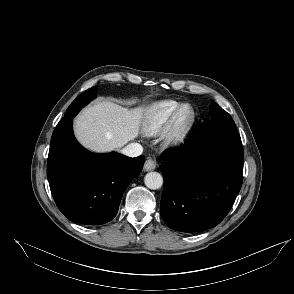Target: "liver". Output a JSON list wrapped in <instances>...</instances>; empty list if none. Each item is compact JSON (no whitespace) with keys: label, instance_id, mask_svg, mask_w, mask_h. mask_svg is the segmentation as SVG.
Listing matches in <instances>:
<instances>
[{"label":"liver","instance_id":"obj_1","mask_svg":"<svg viewBox=\"0 0 294 294\" xmlns=\"http://www.w3.org/2000/svg\"><path fill=\"white\" fill-rule=\"evenodd\" d=\"M146 108L127 109L110 101L85 108L75 119V135L87 149L102 153L136 138Z\"/></svg>","mask_w":294,"mask_h":294}]
</instances>
